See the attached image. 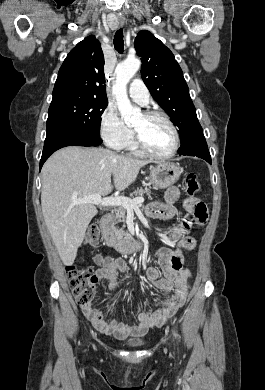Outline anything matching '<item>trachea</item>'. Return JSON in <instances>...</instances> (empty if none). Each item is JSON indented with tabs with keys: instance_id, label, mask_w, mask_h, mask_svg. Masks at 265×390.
Listing matches in <instances>:
<instances>
[{
	"instance_id": "obj_1",
	"label": "trachea",
	"mask_w": 265,
	"mask_h": 390,
	"mask_svg": "<svg viewBox=\"0 0 265 390\" xmlns=\"http://www.w3.org/2000/svg\"><path fill=\"white\" fill-rule=\"evenodd\" d=\"M114 46L115 49L122 53L124 49V40H123V31L122 29L117 30L114 36Z\"/></svg>"
}]
</instances>
